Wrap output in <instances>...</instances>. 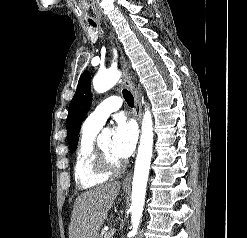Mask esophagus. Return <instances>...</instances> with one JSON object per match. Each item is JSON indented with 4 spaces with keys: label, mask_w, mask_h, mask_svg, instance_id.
Returning <instances> with one entry per match:
<instances>
[{
    "label": "esophagus",
    "mask_w": 247,
    "mask_h": 238,
    "mask_svg": "<svg viewBox=\"0 0 247 238\" xmlns=\"http://www.w3.org/2000/svg\"><path fill=\"white\" fill-rule=\"evenodd\" d=\"M120 63H121V68H122V72H123V83L128 88V90L132 93V95L134 97L135 115H136V119H137L138 123L140 124L141 116H142V108H141L140 99H139L137 91H136V89L133 85V82H132V77H131V74L129 72V64L126 61L125 57L122 55V53L120 55ZM131 180H132V172H129L122 182L123 187L129 188L131 185Z\"/></svg>",
    "instance_id": "1"
}]
</instances>
